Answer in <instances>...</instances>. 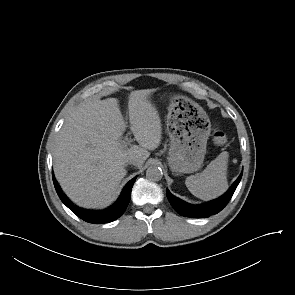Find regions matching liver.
I'll return each mask as SVG.
<instances>
[{"mask_svg": "<svg viewBox=\"0 0 295 295\" xmlns=\"http://www.w3.org/2000/svg\"><path fill=\"white\" fill-rule=\"evenodd\" d=\"M155 89L132 91L128 113L130 129L139 146L122 147L119 140L126 122L116 98L89 101L64 122L53 152L54 173L63 191L78 206L104 208L113 200L129 154L137 155L141 167L162 139L156 107L148 100Z\"/></svg>", "mask_w": 295, "mask_h": 295, "instance_id": "1", "label": "liver"}]
</instances>
